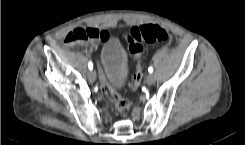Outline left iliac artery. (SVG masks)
<instances>
[{"mask_svg":"<svg viewBox=\"0 0 245 145\" xmlns=\"http://www.w3.org/2000/svg\"><path fill=\"white\" fill-rule=\"evenodd\" d=\"M148 72H149V73H152V72H153V67L150 66V67L148 68Z\"/></svg>","mask_w":245,"mask_h":145,"instance_id":"1","label":"left iliac artery"}]
</instances>
